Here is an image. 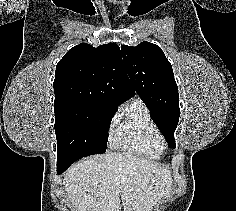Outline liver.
Segmentation results:
<instances>
[{
  "instance_id": "6515ba94",
  "label": "liver",
  "mask_w": 236,
  "mask_h": 211,
  "mask_svg": "<svg viewBox=\"0 0 236 211\" xmlns=\"http://www.w3.org/2000/svg\"><path fill=\"white\" fill-rule=\"evenodd\" d=\"M63 185L76 211H151L168 196L172 178L164 166L129 152L86 158L65 173Z\"/></svg>"
}]
</instances>
